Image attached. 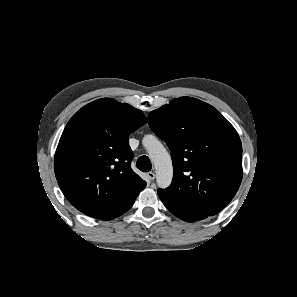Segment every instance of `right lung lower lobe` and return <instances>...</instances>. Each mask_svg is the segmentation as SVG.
<instances>
[{"label":"right lung lower lobe","instance_id":"98d812e1","mask_svg":"<svg viewBox=\"0 0 297 297\" xmlns=\"http://www.w3.org/2000/svg\"><path fill=\"white\" fill-rule=\"evenodd\" d=\"M132 205H133V204H132ZM132 205H131V206H132ZM131 206H129V207L127 208V210L130 209ZM127 210H126V211H127ZM126 211H125V212H126ZM125 212H124V213H125Z\"/></svg>","mask_w":297,"mask_h":297}]
</instances>
